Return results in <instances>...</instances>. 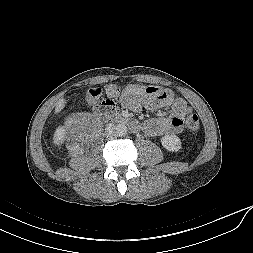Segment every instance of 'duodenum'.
I'll use <instances>...</instances> for the list:
<instances>
[{"label":"duodenum","mask_w":253,"mask_h":253,"mask_svg":"<svg viewBox=\"0 0 253 253\" xmlns=\"http://www.w3.org/2000/svg\"><path fill=\"white\" fill-rule=\"evenodd\" d=\"M94 114L97 117H101L105 115L106 117L110 118L112 121L118 124L126 125L132 130H137L140 127L139 123L135 119L124 116V115H120L112 108H104L102 106H96L94 108Z\"/></svg>","instance_id":"duodenum-1"}]
</instances>
